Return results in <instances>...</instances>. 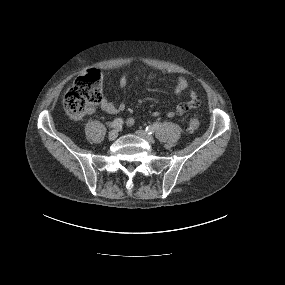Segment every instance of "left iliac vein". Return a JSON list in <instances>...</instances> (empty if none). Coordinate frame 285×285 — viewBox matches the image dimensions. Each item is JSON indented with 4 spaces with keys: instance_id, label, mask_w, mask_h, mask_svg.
Masks as SVG:
<instances>
[{
    "instance_id": "4c4485c4",
    "label": "left iliac vein",
    "mask_w": 285,
    "mask_h": 285,
    "mask_svg": "<svg viewBox=\"0 0 285 285\" xmlns=\"http://www.w3.org/2000/svg\"><path fill=\"white\" fill-rule=\"evenodd\" d=\"M136 134L143 138L144 140H146L147 142L149 143H152L154 141V138L152 135L148 134L146 131H143V130H137L136 131Z\"/></svg>"
}]
</instances>
